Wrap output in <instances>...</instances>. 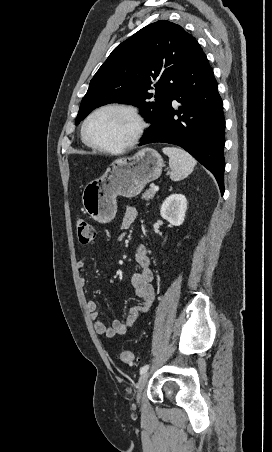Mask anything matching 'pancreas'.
I'll return each mask as SVG.
<instances>
[{
    "instance_id": "pancreas-1",
    "label": "pancreas",
    "mask_w": 272,
    "mask_h": 452,
    "mask_svg": "<svg viewBox=\"0 0 272 452\" xmlns=\"http://www.w3.org/2000/svg\"><path fill=\"white\" fill-rule=\"evenodd\" d=\"M155 193L156 192L153 190V188H150L142 194L141 198L149 201V200L153 199V197L155 196Z\"/></svg>"
}]
</instances>
